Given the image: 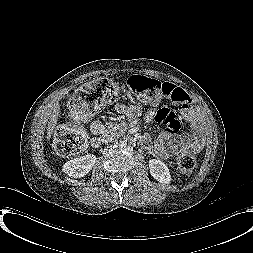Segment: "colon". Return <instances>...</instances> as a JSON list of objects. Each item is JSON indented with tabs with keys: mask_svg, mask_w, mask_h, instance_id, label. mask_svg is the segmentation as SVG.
Returning a JSON list of instances; mask_svg holds the SVG:
<instances>
[{
	"mask_svg": "<svg viewBox=\"0 0 253 253\" xmlns=\"http://www.w3.org/2000/svg\"><path fill=\"white\" fill-rule=\"evenodd\" d=\"M128 87L143 102L151 105L176 100V86L151 77L133 75L128 80ZM120 95L121 88L113 80L99 79L89 82L80 87L70 99L68 114L76 120H82L94 114L102 106L115 102ZM86 144V135L74 125L65 123L57 128L53 146L58 155L73 156L82 152ZM196 164V156L190 152H180L176 158V165L184 174L191 173Z\"/></svg>",
	"mask_w": 253,
	"mask_h": 253,
	"instance_id": "5ec220e1",
	"label": "colon"
}]
</instances>
